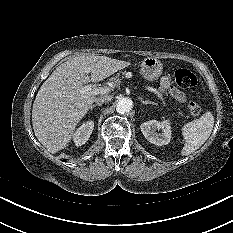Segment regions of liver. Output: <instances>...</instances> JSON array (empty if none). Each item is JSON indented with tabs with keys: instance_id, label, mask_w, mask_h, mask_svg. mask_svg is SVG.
<instances>
[{
	"instance_id": "6515ba94",
	"label": "liver",
	"mask_w": 233,
	"mask_h": 233,
	"mask_svg": "<svg viewBox=\"0 0 233 233\" xmlns=\"http://www.w3.org/2000/svg\"><path fill=\"white\" fill-rule=\"evenodd\" d=\"M129 65L126 61L88 54L58 66L42 84L33 103L32 125L39 142L51 153L64 149L77 124L100 97L83 93V84L102 81Z\"/></svg>"
}]
</instances>
